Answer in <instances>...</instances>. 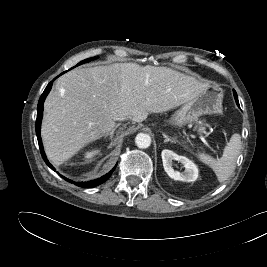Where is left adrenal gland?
<instances>
[{
  "instance_id": "obj_1",
  "label": "left adrenal gland",
  "mask_w": 267,
  "mask_h": 267,
  "mask_svg": "<svg viewBox=\"0 0 267 267\" xmlns=\"http://www.w3.org/2000/svg\"><path fill=\"white\" fill-rule=\"evenodd\" d=\"M162 135L165 138L164 142L176 143V140L170 139L165 133H163Z\"/></svg>"
}]
</instances>
